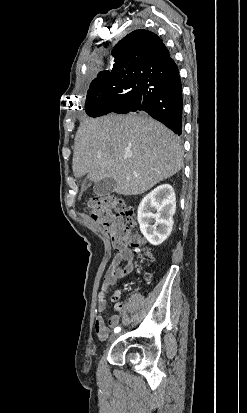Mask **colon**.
<instances>
[{"instance_id": "5ec220e1", "label": "colon", "mask_w": 247, "mask_h": 413, "mask_svg": "<svg viewBox=\"0 0 247 413\" xmlns=\"http://www.w3.org/2000/svg\"><path fill=\"white\" fill-rule=\"evenodd\" d=\"M90 215L98 222L104 231L111 234V241L117 250H122L130 242L136 256L143 261H152L153 254L143 246L142 237L136 232H130L124 226V219L132 220L134 218L132 208L123 200L113 197L104 196L93 198L87 203ZM145 281L151 279V275H143ZM116 307H120L117 304Z\"/></svg>"}]
</instances>
